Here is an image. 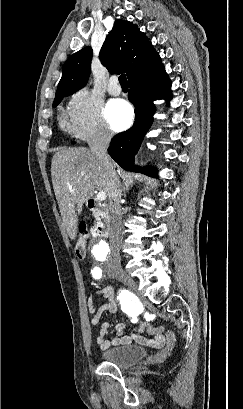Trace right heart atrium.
<instances>
[{
    "mask_svg": "<svg viewBox=\"0 0 243 409\" xmlns=\"http://www.w3.org/2000/svg\"><path fill=\"white\" fill-rule=\"evenodd\" d=\"M69 131L85 142H107L112 133L105 123L101 104L85 90L73 94L68 110Z\"/></svg>",
    "mask_w": 243,
    "mask_h": 409,
    "instance_id": "obj_1",
    "label": "right heart atrium"
}]
</instances>
